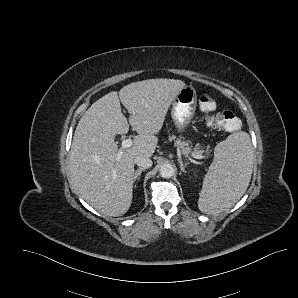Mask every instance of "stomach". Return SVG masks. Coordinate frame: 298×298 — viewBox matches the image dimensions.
<instances>
[{
    "label": "stomach",
    "instance_id": "0dacf381",
    "mask_svg": "<svg viewBox=\"0 0 298 298\" xmlns=\"http://www.w3.org/2000/svg\"><path fill=\"white\" fill-rule=\"evenodd\" d=\"M197 107V92L186 85L172 101L171 118L178 133L185 132L194 118Z\"/></svg>",
    "mask_w": 298,
    "mask_h": 298
}]
</instances>
